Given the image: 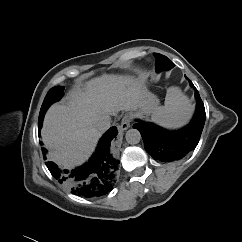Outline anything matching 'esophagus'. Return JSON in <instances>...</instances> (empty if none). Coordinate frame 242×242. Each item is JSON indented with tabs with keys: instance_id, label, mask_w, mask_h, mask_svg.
Returning <instances> with one entry per match:
<instances>
[{
	"instance_id": "obj_1",
	"label": "esophagus",
	"mask_w": 242,
	"mask_h": 242,
	"mask_svg": "<svg viewBox=\"0 0 242 242\" xmlns=\"http://www.w3.org/2000/svg\"><path fill=\"white\" fill-rule=\"evenodd\" d=\"M130 127V121L128 118H123L121 125H120V130L125 131Z\"/></svg>"
}]
</instances>
